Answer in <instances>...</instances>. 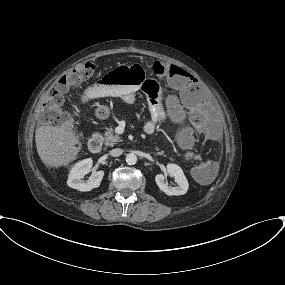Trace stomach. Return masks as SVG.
<instances>
[{
  "label": "stomach",
  "mask_w": 285,
  "mask_h": 285,
  "mask_svg": "<svg viewBox=\"0 0 285 285\" xmlns=\"http://www.w3.org/2000/svg\"><path fill=\"white\" fill-rule=\"evenodd\" d=\"M95 114L97 116V118L104 120L107 119L110 115V111L108 109V107L104 106V105H100L96 111Z\"/></svg>",
  "instance_id": "0dacf381"
}]
</instances>
